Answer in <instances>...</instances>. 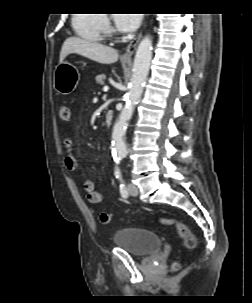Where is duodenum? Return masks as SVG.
I'll use <instances>...</instances> for the list:
<instances>
[{
  "mask_svg": "<svg viewBox=\"0 0 252 303\" xmlns=\"http://www.w3.org/2000/svg\"><path fill=\"white\" fill-rule=\"evenodd\" d=\"M113 119V112L112 111H107L105 115V120H104V128L109 127Z\"/></svg>",
  "mask_w": 252,
  "mask_h": 303,
  "instance_id": "duodenum-1",
  "label": "duodenum"
}]
</instances>
